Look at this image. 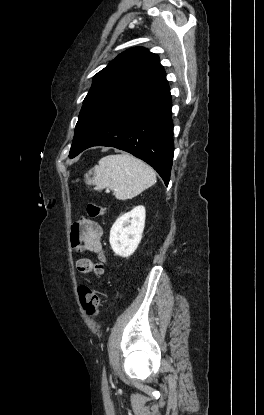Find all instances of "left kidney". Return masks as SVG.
Returning a JSON list of instances; mask_svg holds the SVG:
<instances>
[{
    "label": "left kidney",
    "instance_id": "5707ae66",
    "mask_svg": "<svg viewBox=\"0 0 264 415\" xmlns=\"http://www.w3.org/2000/svg\"><path fill=\"white\" fill-rule=\"evenodd\" d=\"M145 217V207L137 206L115 221L110 230L109 242L116 255L129 257L135 252L142 238Z\"/></svg>",
    "mask_w": 264,
    "mask_h": 415
}]
</instances>
